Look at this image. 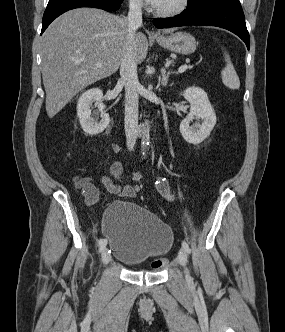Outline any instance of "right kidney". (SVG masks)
<instances>
[{"label":"right kidney","mask_w":285,"mask_h":332,"mask_svg":"<svg viewBox=\"0 0 285 332\" xmlns=\"http://www.w3.org/2000/svg\"><path fill=\"white\" fill-rule=\"evenodd\" d=\"M103 92L98 88L89 89L84 92L77 103V116L83 131L89 135H96L103 132L110 122L109 114L104 110L105 106L102 103ZM98 104L101 113L99 120L98 113H92V103Z\"/></svg>","instance_id":"obj_1"}]
</instances>
